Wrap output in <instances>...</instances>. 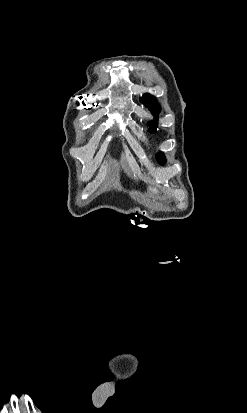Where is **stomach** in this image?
<instances>
[{
    "mask_svg": "<svg viewBox=\"0 0 247 413\" xmlns=\"http://www.w3.org/2000/svg\"><path fill=\"white\" fill-rule=\"evenodd\" d=\"M149 190L150 192H152V194H158V190L156 186H149Z\"/></svg>",
    "mask_w": 247,
    "mask_h": 413,
    "instance_id": "1",
    "label": "stomach"
}]
</instances>
